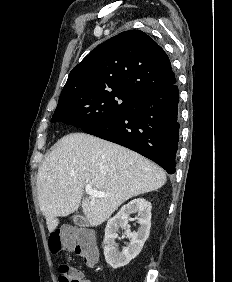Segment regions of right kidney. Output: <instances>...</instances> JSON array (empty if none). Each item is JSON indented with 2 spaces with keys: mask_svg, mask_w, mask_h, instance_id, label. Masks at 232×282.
<instances>
[{
  "mask_svg": "<svg viewBox=\"0 0 232 282\" xmlns=\"http://www.w3.org/2000/svg\"><path fill=\"white\" fill-rule=\"evenodd\" d=\"M151 203L143 198H138L123 205L119 212L108 220L105 228L104 238V255L106 262L113 268L117 269L127 265L142 250L143 245L149 237L151 227ZM138 213V223L140 227L137 232H131L128 228L129 216ZM125 230V235L129 238L130 243L121 252L117 249L115 239L118 230Z\"/></svg>",
  "mask_w": 232,
  "mask_h": 282,
  "instance_id": "ca27d5eb",
  "label": "right kidney"
}]
</instances>
